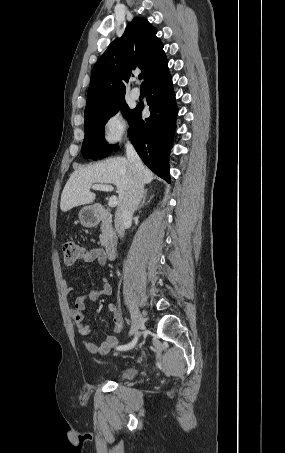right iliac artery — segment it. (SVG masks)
Wrapping results in <instances>:
<instances>
[{
	"label": "right iliac artery",
	"mask_w": 285,
	"mask_h": 453,
	"mask_svg": "<svg viewBox=\"0 0 285 453\" xmlns=\"http://www.w3.org/2000/svg\"><path fill=\"white\" fill-rule=\"evenodd\" d=\"M137 343V337H135L130 343L126 344V345H122V346H119L118 349L119 350H128V349H131L133 348Z\"/></svg>",
	"instance_id": "obj_1"
}]
</instances>
